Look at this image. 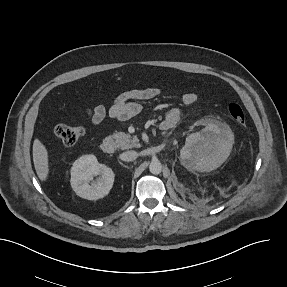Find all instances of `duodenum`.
Listing matches in <instances>:
<instances>
[{"label":"duodenum","instance_id":"duodenum-1","mask_svg":"<svg viewBox=\"0 0 287 287\" xmlns=\"http://www.w3.org/2000/svg\"><path fill=\"white\" fill-rule=\"evenodd\" d=\"M115 144L114 141L111 138H105L103 142L101 143V150L105 154H111L114 152Z\"/></svg>","mask_w":287,"mask_h":287}]
</instances>
